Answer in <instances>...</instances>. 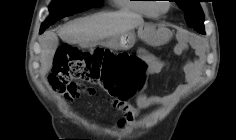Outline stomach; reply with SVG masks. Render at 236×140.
<instances>
[{
	"instance_id": "1",
	"label": "stomach",
	"mask_w": 236,
	"mask_h": 140,
	"mask_svg": "<svg viewBox=\"0 0 236 140\" xmlns=\"http://www.w3.org/2000/svg\"><path fill=\"white\" fill-rule=\"evenodd\" d=\"M138 36L150 45H163L169 41L172 32L162 24L148 23L141 25ZM136 36L133 31H128L120 36L109 38L106 44L115 49H128L135 43Z\"/></svg>"
}]
</instances>
